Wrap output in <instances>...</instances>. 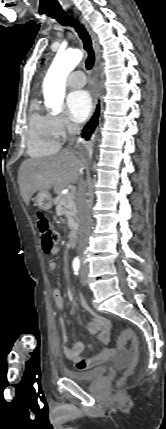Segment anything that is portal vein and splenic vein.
<instances>
[{"label": "portal vein and splenic vein", "mask_w": 166, "mask_h": 429, "mask_svg": "<svg viewBox=\"0 0 166 429\" xmlns=\"http://www.w3.org/2000/svg\"><path fill=\"white\" fill-rule=\"evenodd\" d=\"M72 197H73L72 194H67L68 199H71Z\"/></svg>", "instance_id": "portal-vein-and-splenic-vein-1"}]
</instances>
